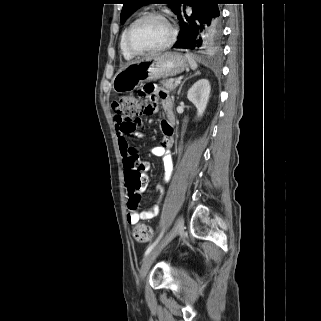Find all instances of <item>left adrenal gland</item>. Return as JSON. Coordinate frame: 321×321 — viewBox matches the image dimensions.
Instances as JSON below:
<instances>
[{
    "instance_id": "1",
    "label": "left adrenal gland",
    "mask_w": 321,
    "mask_h": 321,
    "mask_svg": "<svg viewBox=\"0 0 321 321\" xmlns=\"http://www.w3.org/2000/svg\"><path fill=\"white\" fill-rule=\"evenodd\" d=\"M199 74H200V71H197L194 75H192V76L184 79V81L182 82V84H181L180 87H179L178 95H180V92H181V89H182V86L184 85V83H185L189 78H191V77H193V76H195V75H199Z\"/></svg>"
}]
</instances>
